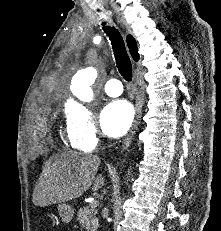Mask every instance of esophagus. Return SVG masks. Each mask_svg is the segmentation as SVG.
Here are the masks:
<instances>
[{"mask_svg":"<svg viewBox=\"0 0 221 231\" xmlns=\"http://www.w3.org/2000/svg\"><path fill=\"white\" fill-rule=\"evenodd\" d=\"M135 85H137L135 81ZM142 106H143V99L141 97L140 92L137 90L136 92V115H135V120L133 123V126L128 134V136L124 139L123 144H122V152L128 148V146L131 143V140L137 130V126L139 124V120L141 118V113H142Z\"/></svg>","mask_w":221,"mask_h":231,"instance_id":"obj_1","label":"esophagus"}]
</instances>
